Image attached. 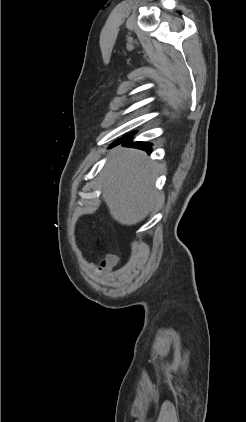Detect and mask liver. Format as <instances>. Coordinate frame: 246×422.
Instances as JSON below:
<instances>
[{"label":"liver","mask_w":246,"mask_h":422,"mask_svg":"<svg viewBox=\"0 0 246 422\" xmlns=\"http://www.w3.org/2000/svg\"><path fill=\"white\" fill-rule=\"evenodd\" d=\"M159 166L136 149L118 148L106 165L103 177V200L110 215L122 225L144 220L159 200L153 184Z\"/></svg>","instance_id":"liver-1"}]
</instances>
